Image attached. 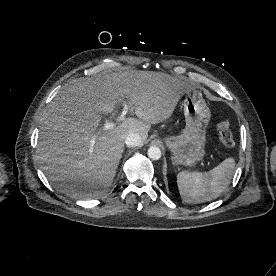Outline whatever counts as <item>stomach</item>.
Returning <instances> with one entry per match:
<instances>
[{"label": "stomach", "mask_w": 276, "mask_h": 276, "mask_svg": "<svg viewBox=\"0 0 276 276\" xmlns=\"http://www.w3.org/2000/svg\"><path fill=\"white\" fill-rule=\"evenodd\" d=\"M182 106L186 126L177 136H167L165 143L171 152L173 165L194 167L206 153V130L211 112L200 92L185 93Z\"/></svg>", "instance_id": "obj_1"}]
</instances>
